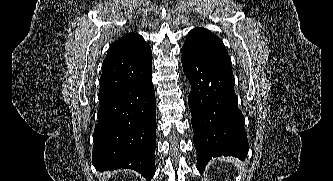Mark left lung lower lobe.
<instances>
[{"instance_id": "0a47b994", "label": "left lung lower lobe", "mask_w": 333, "mask_h": 181, "mask_svg": "<svg viewBox=\"0 0 333 181\" xmlns=\"http://www.w3.org/2000/svg\"><path fill=\"white\" fill-rule=\"evenodd\" d=\"M182 65L191 84L189 107L197 169L202 172L212 157L234 156L245 160L248 141L244 116L237 105L233 73L184 49Z\"/></svg>"}]
</instances>
